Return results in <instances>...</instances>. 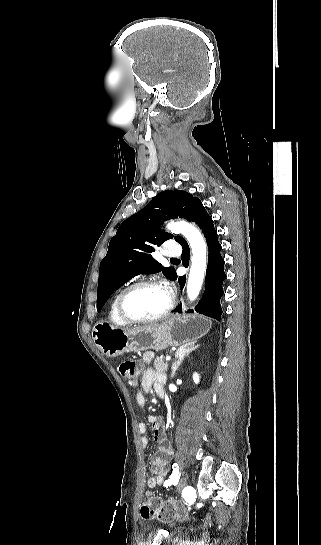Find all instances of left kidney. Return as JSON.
I'll return each mask as SVG.
<instances>
[{
  "mask_svg": "<svg viewBox=\"0 0 321 545\" xmlns=\"http://www.w3.org/2000/svg\"><path fill=\"white\" fill-rule=\"evenodd\" d=\"M193 381H194L195 385H198V383H200V377H199L198 373H194Z\"/></svg>",
  "mask_w": 321,
  "mask_h": 545,
  "instance_id": "left-kidney-1",
  "label": "left kidney"
}]
</instances>
